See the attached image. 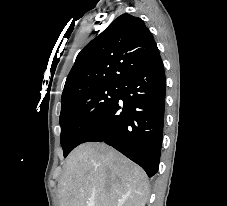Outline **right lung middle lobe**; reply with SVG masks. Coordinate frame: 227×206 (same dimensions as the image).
<instances>
[{"mask_svg": "<svg viewBox=\"0 0 227 206\" xmlns=\"http://www.w3.org/2000/svg\"><path fill=\"white\" fill-rule=\"evenodd\" d=\"M120 83L104 84L77 92L61 100V145L66 157L117 100Z\"/></svg>", "mask_w": 227, "mask_h": 206, "instance_id": "right-lung-middle-lobe-1", "label": "right lung middle lobe"}]
</instances>
